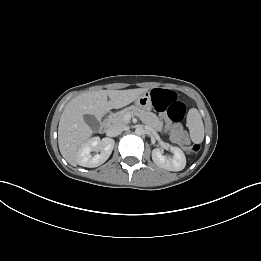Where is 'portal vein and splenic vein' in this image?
Masks as SVG:
<instances>
[{
  "label": "portal vein and splenic vein",
  "instance_id": "1",
  "mask_svg": "<svg viewBox=\"0 0 261 261\" xmlns=\"http://www.w3.org/2000/svg\"><path fill=\"white\" fill-rule=\"evenodd\" d=\"M131 118V115H126L125 119L129 120Z\"/></svg>",
  "mask_w": 261,
  "mask_h": 261
}]
</instances>
